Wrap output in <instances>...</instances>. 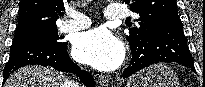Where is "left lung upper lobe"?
I'll return each instance as SVG.
<instances>
[{"label":"left lung upper lobe","mask_w":205,"mask_h":87,"mask_svg":"<svg viewBox=\"0 0 205 87\" xmlns=\"http://www.w3.org/2000/svg\"><path fill=\"white\" fill-rule=\"evenodd\" d=\"M133 12L140 15L137 19L140 28H130L127 41L130 47L141 46L154 26L169 18H179L175 0H125Z\"/></svg>","instance_id":"obj_1"}]
</instances>
